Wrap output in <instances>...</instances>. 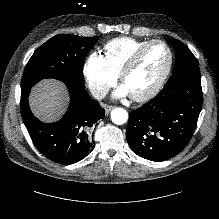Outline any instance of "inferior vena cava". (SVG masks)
<instances>
[{"label":"inferior vena cava","mask_w":219,"mask_h":219,"mask_svg":"<svg viewBox=\"0 0 219 219\" xmlns=\"http://www.w3.org/2000/svg\"><path fill=\"white\" fill-rule=\"evenodd\" d=\"M90 92L94 98L101 100L107 95L108 90L103 86H93L90 88Z\"/></svg>","instance_id":"obj_1"}]
</instances>
